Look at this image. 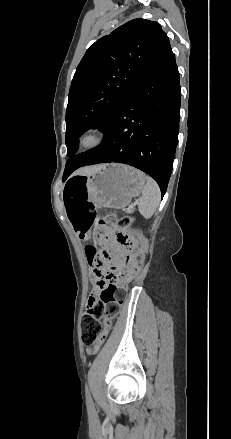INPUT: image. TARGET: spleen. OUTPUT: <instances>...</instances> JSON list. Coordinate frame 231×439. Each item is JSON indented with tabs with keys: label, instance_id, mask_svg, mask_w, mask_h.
<instances>
[{
	"label": "spleen",
	"instance_id": "spleen-1",
	"mask_svg": "<svg viewBox=\"0 0 231 439\" xmlns=\"http://www.w3.org/2000/svg\"><path fill=\"white\" fill-rule=\"evenodd\" d=\"M160 199L161 192L158 184L151 177H146V184L138 203L140 214L146 219L150 218L157 210Z\"/></svg>",
	"mask_w": 231,
	"mask_h": 439
}]
</instances>
